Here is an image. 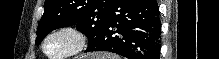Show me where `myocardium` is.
<instances>
[{"label":"myocardium","mask_w":219,"mask_h":59,"mask_svg":"<svg viewBox=\"0 0 219 59\" xmlns=\"http://www.w3.org/2000/svg\"><path fill=\"white\" fill-rule=\"evenodd\" d=\"M61 34L68 35L74 40L72 49L60 56L50 55L46 50L48 41L54 36ZM87 44L88 37L82 30L73 25H64L53 29L45 35L41 43V50L48 59H69L80 54L87 47Z\"/></svg>","instance_id":"f54148a6"}]
</instances>
